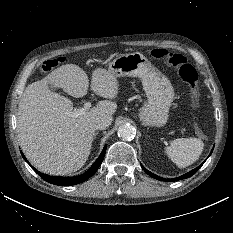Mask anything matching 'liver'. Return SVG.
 <instances>
[{"label":"liver","mask_w":233,"mask_h":233,"mask_svg":"<svg viewBox=\"0 0 233 233\" xmlns=\"http://www.w3.org/2000/svg\"><path fill=\"white\" fill-rule=\"evenodd\" d=\"M48 84L60 87L72 97L87 94L89 79L75 64L58 67L45 78L29 84L23 92L17 117V131L22 150L41 172L66 175L79 170L87 161L95 135L94 120L114 114L119 83L104 68L92 71L91 89L106 100L75 117L70 99L49 90Z\"/></svg>","instance_id":"liver-1"}]
</instances>
